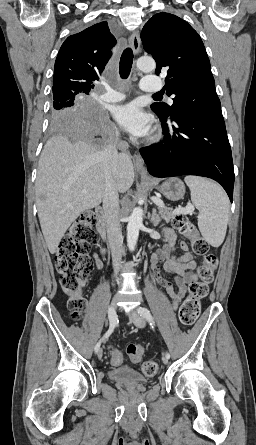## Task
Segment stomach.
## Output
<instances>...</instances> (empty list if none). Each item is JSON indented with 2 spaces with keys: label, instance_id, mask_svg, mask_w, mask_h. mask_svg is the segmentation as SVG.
<instances>
[{
  "label": "stomach",
  "instance_id": "stomach-1",
  "mask_svg": "<svg viewBox=\"0 0 256 445\" xmlns=\"http://www.w3.org/2000/svg\"><path fill=\"white\" fill-rule=\"evenodd\" d=\"M157 189L171 201H178L183 198L185 194V186L179 178H169L161 185L157 186Z\"/></svg>",
  "mask_w": 256,
  "mask_h": 445
}]
</instances>
